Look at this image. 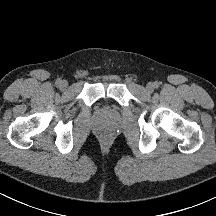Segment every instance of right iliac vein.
Wrapping results in <instances>:
<instances>
[{"mask_svg": "<svg viewBox=\"0 0 216 216\" xmlns=\"http://www.w3.org/2000/svg\"><path fill=\"white\" fill-rule=\"evenodd\" d=\"M67 86H68V81H66V80H62L60 85H59V87L61 89H65V88H67Z\"/></svg>", "mask_w": 216, "mask_h": 216, "instance_id": "1", "label": "right iliac vein"}]
</instances>
